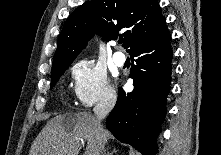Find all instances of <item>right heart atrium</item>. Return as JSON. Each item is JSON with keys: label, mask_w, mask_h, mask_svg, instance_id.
Segmentation results:
<instances>
[{"label": "right heart atrium", "mask_w": 221, "mask_h": 155, "mask_svg": "<svg viewBox=\"0 0 221 155\" xmlns=\"http://www.w3.org/2000/svg\"><path fill=\"white\" fill-rule=\"evenodd\" d=\"M74 94L83 108L95 105L109 106L116 101V92L106 71L95 61L82 59L71 67Z\"/></svg>", "instance_id": "right-heart-atrium-1"}]
</instances>
